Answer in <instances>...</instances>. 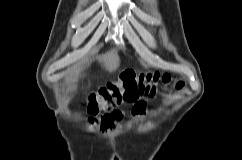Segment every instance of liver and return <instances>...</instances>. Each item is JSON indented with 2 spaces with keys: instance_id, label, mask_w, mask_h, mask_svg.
Listing matches in <instances>:
<instances>
[{
  "instance_id": "1",
  "label": "liver",
  "mask_w": 242,
  "mask_h": 160,
  "mask_svg": "<svg viewBox=\"0 0 242 160\" xmlns=\"http://www.w3.org/2000/svg\"><path fill=\"white\" fill-rule=\"evenodd\" d=\"M96 59L102 64V66L109 72L116 71L120 65V58L117 50L111 49L110 51L96 56Z\"/></svg>"
}]
</instances>
